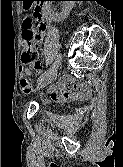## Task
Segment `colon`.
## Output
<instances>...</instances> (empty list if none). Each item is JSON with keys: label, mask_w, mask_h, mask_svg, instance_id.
<instances>
[{"label": "colon", "mask_w": 123, "mask_h": 167, "mask_svg": "<svg viewBox=\"0 0 123 167\" xmlns=\"http://www.w3.org/2000/svg\"><path fill=\"white\" fill-rule=\"evenodd\" d=\"M46 30V25L43 21V12L40 7H35L23 24V51L22 62L24 64H32L39 66L37 43L41 40L43 32Z\"/></svg>", "instance_id": "obj_1"}]
</instances>
